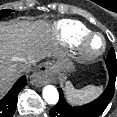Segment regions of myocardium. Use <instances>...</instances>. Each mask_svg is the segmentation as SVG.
Segmentation results:
<instances>
[{
    "label": "myocardium",
    "instance_id": "obj_1",
    "mask_svg": "<svg viewBox=\"0 0 117 117\" xmlns=\"http://www.w3.org/2000/svg\"><path fill=\"white\" fill-rule=\"evenodd\" d=\"M96 37L101 39V46L97 50H91L89 48V44L92 41V39H94ZM76 46H77V55H78L79 59L84 62H89V61H93V60L97 59L105 52L106 40L102 34L96 33V32H91V33L83 36L79 40V42Z\"/></svg>",
    "mask_w": 117,
    "mask_h": 117
}]
</instances>
